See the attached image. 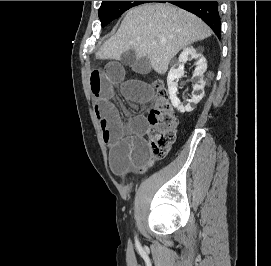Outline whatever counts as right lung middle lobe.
<instances>
[{
    "label": "right lung middle lobe",
    "mask_w": 271,
    "mask_h": 266,
    "mask_svg": "<svg viewBox=\"0 0 271 266\" xmlns=\"http://www.w3.org/2000/svg\"><path fill=\"white\" fill-rule=\"evenodd\" d=\"M150 1H102L98 15L102 27L120 17L128 9Z\"/></svg>",
    "instance_id": "1"
}]
</instances>
